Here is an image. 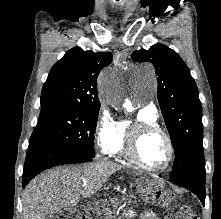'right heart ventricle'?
<instances>
[{"label": "right heart ventricle", "instance_id": "e07e8e85", "mask_svg": "<svg viewBox=\"0 0 221 219\" xmlns=\"http://www.w3.org/2000/svg\"><path fill=\"white\" fill-rule=\"evenodd\" d=\"M148 122L156 123L157 116L153 115L145 110L139 111L134 122ZM129 120H121L117 123L116 134L112 145L109 148L108 154L117 156L125 160H130L125 152L126 136L130 126L134 123Z\"/></svg>", "mask_w": 221, "mask_h": 219}]
</instances>
